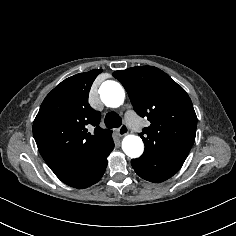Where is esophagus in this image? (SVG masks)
Listing matches in <instances>:
<instances>
[{"label": "esophagus", "instance_id": "obj_1", "mask_svg": "<svg viewBox=\"0 0 236 236\" xmlns=\"http://www.w3.org/2000/svg\"><path fill=\"white\" fill-rule=\"evenodd\" d=\"M128 133V128L125 124H123L122 126H120V128L118 129V135L120 137L126 135Z\"/></svg>", "mask_w": 236, "mask_h": 236}]
</instances>
